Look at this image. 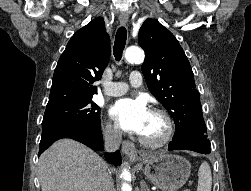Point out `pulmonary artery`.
<instances>
[{"label":"pulmonary artery","instance_id":"obj_1","mask_svg":"<svg viewBox=\"0 0 251 191\" xmlns=\"http://www.w3.org/2000/svg\"><path fill=\"white\" fill-rule=\"evenodd\" d=\"M129 82L134 87L142 85L143 77L140 72L132 71L129 76ZM104 87V93L108 96H120L127 92L129 85L124 82H105L100 81Z\"/></svg>","mask_w":251,"mask_h":191}]
</instances>
